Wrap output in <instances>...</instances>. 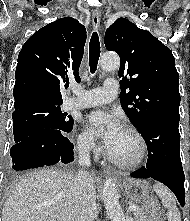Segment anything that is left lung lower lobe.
Returning a JSON list of instances; mask_svg holds the SVG:
<instances>
[{"instance_id": "obj_1", "label": "left lung lower lobe", "mask_w": 190, "mask_h": 221, "mask_svg": "<svg viewBox=\"0 0 190 221\" xmlns=\"http://www.w3.org/2000/svg\"><path fill=\"white\" fill-rule=\"evenodd\" d=\"M179 121L158 118L140 131L148 148L147 166L131 173L134 178H153L169 187L181 206L185 202L184 172L180 159Z\"/></svg>"}]
</instances>
